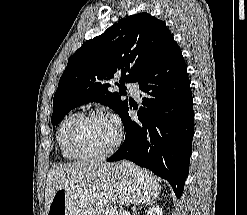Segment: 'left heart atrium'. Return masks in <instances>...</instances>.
Segmentation results:
<instances>
[{
	"instance_id": "left-heart-atrium-1",
	"label": "left heart atrium",
	"mask_w": 247,
	"mask_h": 215,
	"mask_svg": "<svg viewBox=\"0 0 247 215\" xmlns=\"http://www.w3.org/2000/svg\"><path fill=\"white\" fill-rule=\"evenodd\" d=\"M110 122L117 128V121L115 119H111Z\"/></svg>"
}]
</instances>
